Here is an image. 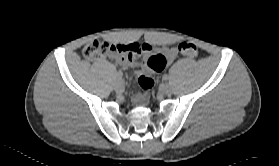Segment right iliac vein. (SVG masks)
<instances>
[{"mask_svg":"<svg viewBox=\"0 0 279 166\" xmlns=\"http://www.w3.org/2000/svg\"><path fill=\"white\" fill-rule=\"evenodd\" d=\"M114 88H115V90H116L117 92H122L123 89H124V83H123V81H122V80H118V81L116 82Z\"/></svg>","mask_w":279,"mask_h":166,"instance_id":"obj_1","label":"right iliac vein"}]
</instances>
